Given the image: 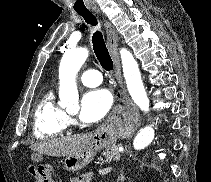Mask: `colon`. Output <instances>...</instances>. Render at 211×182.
<instances>
[{
    "label": "colon",
    "mask_w": 211,
    "mask_h": 182,
    "mask_svg": "<svg viewBox=\"0 0 211 182\" xmlns=\"http://www.w3.org/2000/svg\"><path fill=\"white\" fill-rule=\"evenodd\" d=\"M30 173L36 181L53 182V169L50 166L30 167Z\"/></svg>",
    "instance_id": "5ec220e1"
}]
</instances>
